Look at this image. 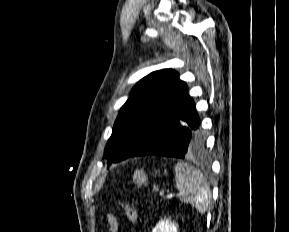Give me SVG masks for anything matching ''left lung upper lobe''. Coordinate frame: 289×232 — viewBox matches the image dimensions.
<instances>
[{"label":"left lung upper lobe","mask_w":289,"mask_h":232,"mask_svg":"<svg viewBox=\"0 0 289 232\" xmlns=\"http://www.w3.org/2000/svg\"><path fill=\"white\" fill-rule=\"evenodd\" d=\"M178 73L163 69L138 82L122 106L105 148L108 163L119 162L141 148L169 123L188 98Z\"/></svg>","instance_id":"left-lung-upper-lobe-1"}]
</instances>
